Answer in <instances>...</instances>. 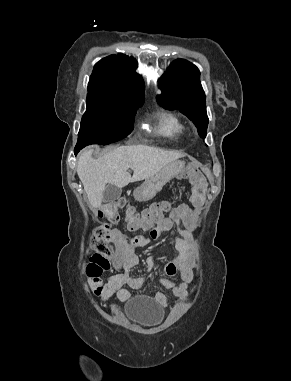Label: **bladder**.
Here are the masks:
<instances>
[{"label": "bladder", "instance_id": "1", "mask_svg": "<svg viewBox=\"0 0 291 381\" xmlns=\"http://www.w3.org/2000/svg\"><path fill=\"white\" fill-rule=\"evenodd\" d=\"M124 314L130 322L147 327L158 323L163 317L164 311L149 298L134 297L126 300Z\"/></svg>", "mask_w": 291, "mask_h": 381}]
</instances>
